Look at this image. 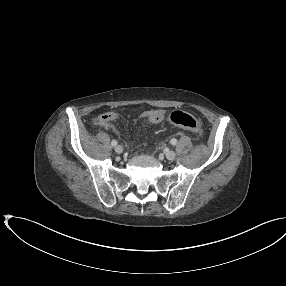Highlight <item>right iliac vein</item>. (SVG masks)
<instances>
[{
	"label": "right iliac vein",
	"mask_w": 286,
	"mask_h": 286,
	"mask_svg": "<svg viewBox=\"0 0 286 286\" xmlns=\"http://www.w3.org/2000/svg\"><path fill=\"white\" fill-rule=\"evenodd\" d=\"M115 151L116 153L121 154L123 152V147L121 145H117L115 147Z\"/></svg>",
	"instance_id": "right-iliac-vein-1"
}]
</instances>
